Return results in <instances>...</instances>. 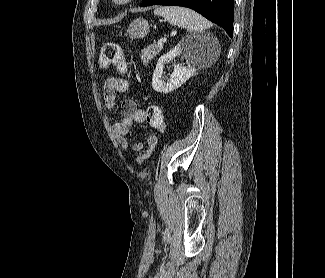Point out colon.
I'll list each match as a JSON object with an SVG mask.
<instances>
[{"label": "colon", "instance_id": "5ec220e1", "mask_svg": "<svg viewBox=\"0 0 325 278\" xmlns=\"http://www.w3.org/2000/svg\"><path fill=\"white\" fill-rule=\"evenodd\" d=\"M99 66L102 69L115 67L120 71L125 69V55L122 47L116 43H105L100 52ZM146 122L155 127L162 128L165 122V116L162 108L158 105H150L146 109Z\"/></svg>", "mask_w": 325, "mask_h": 278}]
</instances>
